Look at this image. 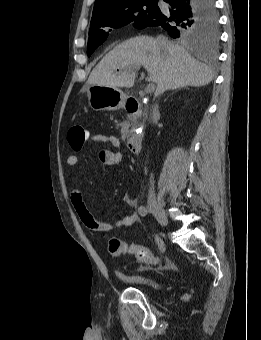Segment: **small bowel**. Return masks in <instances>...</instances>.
Wrapping results in <instances>:
<instances>
[{
  "label": "small bowel",
  "instance_id": "small-bowel-1",
  "mask_svg": "<svg viewBox=\"0 0 261 340\" xmlns=\"http://www.w3.org/2000/svg\"><path fill=\"white\" fill-rule=\"evenodd\" d=\"M86 140L90 143H103L114 149H118L120 147V140L111 134H92L87 131ZM98 157L103 165L113 166L121 162L123 153L119 150L114 151L111 149H101L99 151ZM67 162L70 166H77L80 164H86L87 160L83 156L73 154L68 157ZM124 200L128 205L136 206V201L132 197L126 196ZM70 202L81 222L87 228L95 232H111L122 227L132 226L139 220V212H133L132 214L113 222H103L97 220L86 205L79 189H73L71 191Z\"/></svg>",
  "mask_w": 261,
  "mask_h": 340
}]
</instances>
